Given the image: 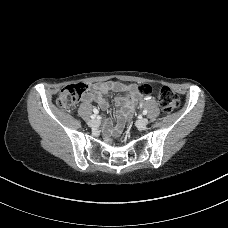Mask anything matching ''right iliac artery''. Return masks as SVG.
Listing matches in <instances>:
<instances>
[{
  "label": "right iliac artery",
  "instance_id": "1",
  "mask_svg": "<svg viewBox=\"0 0 228 228\" xmlns=\"http://www.w3.org/2000/svg\"><path fill=\"white\" fill-rule=\"evenodd\" d=\"M97 113H98V110L97 109H94V114L91 115V118L92 119H95L97 117V115H96Z\"/></svg>",
  "mask_w": 228,
  "mask_h": 228
}]
</instances>
